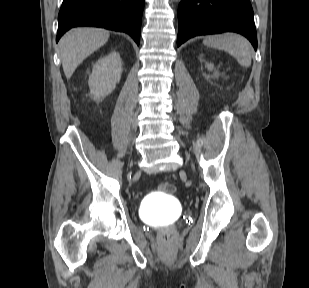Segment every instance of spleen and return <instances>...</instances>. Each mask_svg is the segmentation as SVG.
<instances>
[{"label":"spleen","mask_w":309,"mask_h":288,"mask_svg":"<svg viewBox=\"0 0 309 288\" xmlns=\"http://www.w3.org/2000/svg\"><path fill=\"white\" fill-rule=\"evenodd\" d=\"M203 44L207 47L222 49L228 52L243 67L251 65L252 47L249 41L240 35L233 33L211 35L204 38Z\"/></svg>","instance_id":"obj_1"}]
</instances>
